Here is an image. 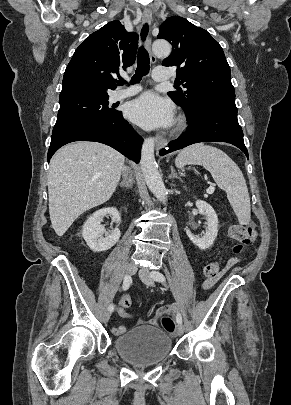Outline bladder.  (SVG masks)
<instances>
[{
  "label": "bladder",
  "instance_id": "bladder-1",
  "mask_svg": "<svg viewBox=\"0 0 291 405\" xmlns=\"http://www.w3.org/2000/svg\"><path fill=\"white\" fill-rule=\"evenodd\" d=\"M113 348L128 364L146 368L163 362L171 353V338L151 325L137 326L113 341Z\"/></svg>",
  "mask_w": 291,
  "mask_h": 405
}]
</instances>
